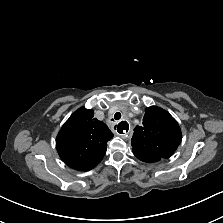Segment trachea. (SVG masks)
I'll return each instance as SVG.
<instances>
[{
  "label": "trachea",
  "instance_id": "1",
  "mask_svg": "<svg viewBox=\"0 0 223 223\" xmlns=\"http://www.w3.org/2000/svg\"><path fill=\"white\" fill-rule=\"evenodd\" d=\"M121 118V113L120 112H117V113H115V115H114V119L115 120H119ZM113 120V119H112Z\"/></svg>",
  "mask_w": 223,
  "mask_h": 223
}]
</instances>
